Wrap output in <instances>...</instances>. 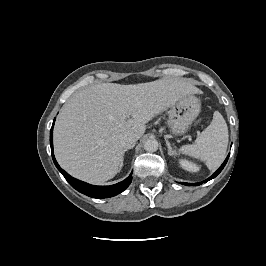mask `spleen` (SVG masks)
<instances>
[{"mask_svg":"<svg viewBox=\"0 0 266 266\" xmlns=\"http://www.w3.org/2000/svg\"><path fill=\"white\" fill-rule=\"evenodd\" d=\"M228 127L223 116L215 111L210 125L192 145L182 146V154L204 161L210 170L218 168L226 156Z\"/></svg>","mask_w":266,"mask_h":266,"instance_id":"3e777b00","label":"spleen"}]
</instances>
